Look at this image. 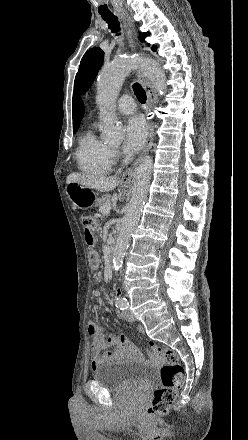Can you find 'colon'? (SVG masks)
Returning <instances> with one entry per match:
<instances>
[{"mask_svg": "<svg viewBox=\"0 0 248 440\" xmlns=\"http://www.w3.org/2000/svg\"><path fill=\"white\" fill-rule=\"evenodd\" d=\"M83 224L86 242L89 246H92L94 243V218L85 216ZM89 261L92 268H97L98 257L92 250L89 252ZM153 348L163 352L165 362L160 368L161 386L154 391L152 402L146 409V413L149 417H159L168 413L173 405L177 392L183 384L185 370L173 350L159 345Z\"/></svg>", "mask_w": 248, "mask_h": 440, "instance_id": "1", "label": "colon"}]
</instances>
